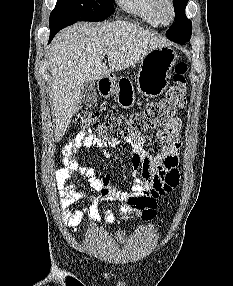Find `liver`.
Returning <instances> with one entry per match:
<instances>
[{
	"mask_svg": "<svg viewBox=\"0 0 233 286\" xmlns=\"http://www.w3.org/2000/svg\"><path fill=\"white\" fill-rule=\"evenodd\" d=\"M162 46H169L165 39L128 21L96 26L80 22L60 32L49 51L55 140L62 139L79 110L85 82L126 69Z\"/></svg>",
	"mask_w": 233,
	"mask_h": 286,
	"instance_id": "obj_1",
	"label": "liver"
}]
</instances>
